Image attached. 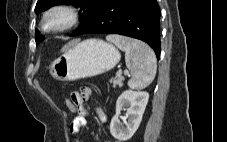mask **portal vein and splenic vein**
Returning <instances> with one entry per match:
<instances>
[{"instance_id": "18ae733b", "label": "portal vein and splenic vein", "mask_w": 227, "mask_h": 142, "mask_svg": "<svg viewBox=\"0 0 227 142\" xmlns=\"http://www.w3.org/2000/svg\"><path fill=\"white\" fill-rule=\"evenodd\" d=\"M121 73H122L121 70H119V71L117 72V74H121ZM124 74H126V75L129 74L128 70H125V71H124Z\"/></svg>"}]
</instances>
